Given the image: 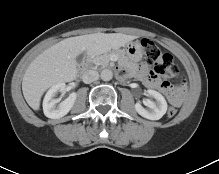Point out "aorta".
Masks as SVG:
<instances>
[{
  "label": "aorta",
  "mask_w": 219,
  "mask_h": 174,
  "mask_svg": "<svg viewBox=\"0 0 219 174\" xmlns=\"http://www.w3.org/2000/svg\"><path fill=\"white\" fill-rule=\"evenodd\" d=\"M100 77L103 81H110L113 77V72L110 69H103L100 73Z\"/></svg>",
  "instance_id": "obj_1"
}]
</instances>
